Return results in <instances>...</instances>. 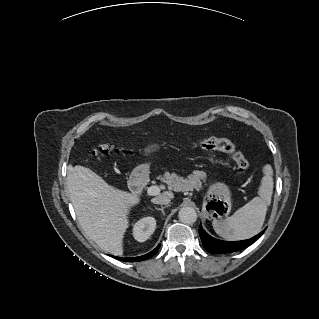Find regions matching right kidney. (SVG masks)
Listing matches in <instances>:
<instances>
[{"label":"right kidney","mask_w":319,"mask_h":319,"mask_svg":"<svg viewBox=\"0 0 319 319\" xmlns=\"http://www.w3.org/2000/svg\"><path fill=\"white\" fill-rule=\"evenodd\" d=\"M156 228V220L153 217H144L133 226V236L139 242L146 241Z\"/></svg>","instance_id":"1"}]
</instances>
